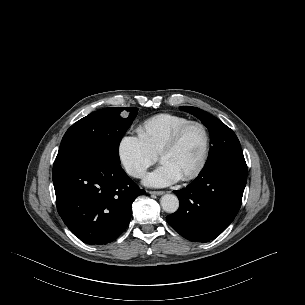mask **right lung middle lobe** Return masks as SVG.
I'll return each instance as SVG.
<instances>
[{
  "label": "right lung middle lobe",
  "instance_id": "right-lung-middle-lobe-1",
  "mask_svg": "<svg viewBox=\"0 0 305 305\" xmlns=\"http://www.w3.org/2000/svg\"><path fill=\"white\" fill-rule=\"evenodd\" d=\"M129 113L127 118L120 116ZM137 108L111 107L95 111L74 123L65 133L55 160L94 154L119 165V143L137 115Z\"/></svg>",
  "mask_w": 305,
  "mask_h": 305
}]
</instances>
